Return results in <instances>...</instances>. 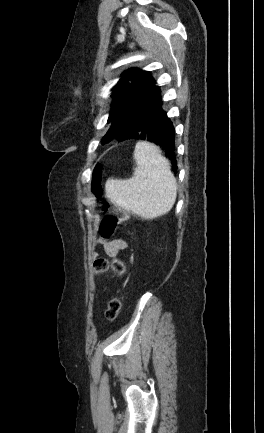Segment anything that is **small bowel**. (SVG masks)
Segmentation results:
<instances>
[{
    "instance_id": "c3829d8e",
    "label": "small bowel",
    "mask_w": 264,
    "mask_h": 433,
    "mask_svg": "<svg viewBox=\"0 0 264 433\" xmlns=\"http://www.w3.org/2000/svg\"><path fill=\"white\" fill-rule=\"evenodd\" d=\"M100 243L102 244L104 253L109 257H115L121 250H124L127 247V243L121 239L113 241L101 239Z\"/></svg>"
}]
</instances>
